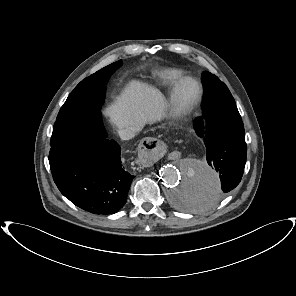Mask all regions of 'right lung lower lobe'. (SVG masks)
<instances>
[{"label":"right lung lower lobe","mask_w":296,"mask_h":296,"mask_svg":"<svg viewBox=\"0 0 296 296\" xmlns=\"http://www.w3.org/2000/svg\"><path fill=\"white\" fill-rule=\"evenodd\" d=\"M104 137H91L73 146L51 147L50 169L60 192L93 214H114L127 201L135 176L121 164L120 146Z\"/></svg>","instance_id":"1"}]
</instances>
